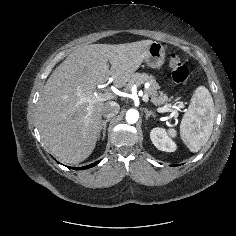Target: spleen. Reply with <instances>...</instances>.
<instances>
[{"instance_id": "1", "label": "spleen", "mask_w": 236, "mask_h": 236, "mask_svg": "<svg viewBox=\"0 0 236 236\" xmlns=\"http://www.w3.org/2000/svg\"><path fill=\"white\" fill-rule=\"evenodd\" d=\"M215 117L212 96L208 89L199 86L184 114L180 125V135L191 152H198L211 136ZM171 137L176 136V130H168Z\"/></svg>"}]
</instances>
